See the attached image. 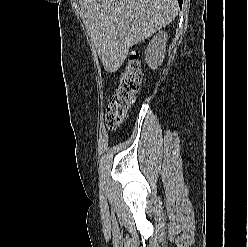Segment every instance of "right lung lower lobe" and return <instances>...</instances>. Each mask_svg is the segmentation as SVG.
I'll return each mask as SVG.
<instances>
[{"mask_svg":"<svg viewBox=\"0 0 248 247\" xmlns=\"http://www.w3.org/2000/svg\"><path fill=\"white\" fill-rule=\"evenodd\" d=\"M178 2H179V5L182 6L183 0H178Z\"/></svg>","mask_w":248,"mask_h":247,"instance_id":"98d812e1","label":"right lung lower lobe"}]
</instances>
